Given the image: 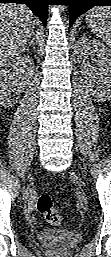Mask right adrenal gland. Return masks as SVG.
<instances>
[{
	"mask_svg": "<svg viewBox=\"0 0 111 257\" xmlns=\"http://www.w3.org/2000/svg\"><path fill=\"white\" fill-rule=\"evenodd\" d=\"M34 40H35V38L32 37L31 40H30V42H29V44H28V46L26 47L25 51H29V48H30V47L35 48V42H34Z\"/></svg>",
	"mask_w": 111,
	"mask_h": 257,
	"instance_id": "obj_1",
	"label": "right adrenal gland"
}]
</instances>
